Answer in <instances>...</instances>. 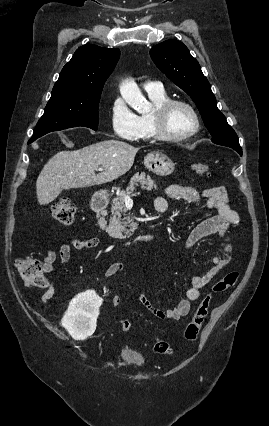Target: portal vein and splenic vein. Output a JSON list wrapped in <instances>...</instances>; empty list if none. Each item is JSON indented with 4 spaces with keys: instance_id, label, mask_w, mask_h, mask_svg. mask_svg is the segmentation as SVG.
Wrapping results in <instances>:
<instances>
[{
    "instance_id": "1",
    "label": "portal vein and splenic vein",
    "mask_w": 269,
    "mask_h": 426,
    "mask_svg": "<svg viewBox=\"0 0 269 426\" xmlns=\"http://www.w3.org/2000/svg\"><path fill=\"white\" fill-rule=\"evenodd\" d=\"M98 170L103 171L104 169L100 167V168H98ZM124 202H125L126 205L133 204V200L130 196H125Z\"/></svg>"
}]
</instances>
